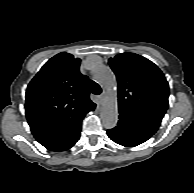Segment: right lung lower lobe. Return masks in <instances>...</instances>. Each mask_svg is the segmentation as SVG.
<instances>
[{"label": "right lung lower lobe", "instance_id": "1", "mask_svg": "<svg viewBox=\"0 0 194 193\" xmlns=\"http://www.w3.org/2000/svg\"><path fill=\"white\" fill-rule=\"evenodd\" d=\"M84 116L85 115H82L51 131L36 134L34 137L48 150L65 151L79 140L81 121Z\"/></svg>", "mask_w": 194, "mask_h": 193}]
</instances>
